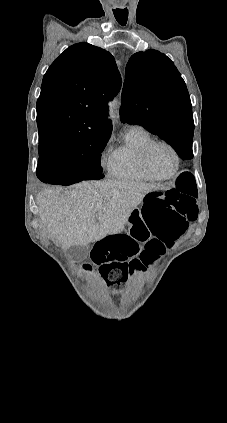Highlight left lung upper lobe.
I'll return each instance as SVG.
<instances>
[{"instance_id":"5c2ea615","label":"left lung upper lobe","mask_w":227,"mask_h":423,"mask_svg":"<svg viewBox=\"0 0 227 423\" xmlns=\"http://www.w3.org/2000/svg\"><path fill=\"white\" fill-rule=\"evenodd\" d=\"M121 121L139 124L168 144L193 140L190 97L174 63L157 50L129 59L122 90Z\"/></svg>"}]
</instances>
